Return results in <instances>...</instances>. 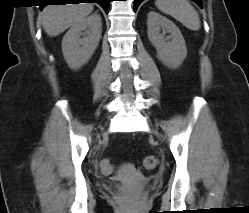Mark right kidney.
<instances>
[{
  "label": "right kidney",
  "mask_w": 249,
  "mask_h": 213,
  "mask_svg": "<svg viewBox=\"0 0 249 213\" xmlns=\"http://www.w3.org/2000/svg\"><path fill=\"white\" fill-rule=\"evenodd\" d=\"M102 21L94 13L74 24L62 40L64 59L71 69H79L86 64L95 52L101 39Z\"/></svg>",
  "instance_id": "1"
}]
</instances>
